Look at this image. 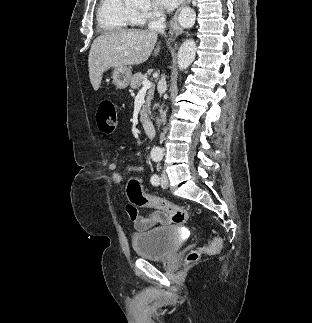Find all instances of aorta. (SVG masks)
<instances>
[{
    "label": "aorta",
    "instance_id": "aorta-1",
    "mask_svg": "<svg viewBox=\"0 0 312 323\" xmlns=\"http://www.w3.org/2000/svg\"><path fill=\"white\" fill-rule=\"evenodd\" d=\"M197 46L194 40H185L181 44L178 52V68L179 70H187L190 64L196 58Z\"/></svg>",
    "mask_w": 312,
    "mask_h": 323
}]
</instances>
